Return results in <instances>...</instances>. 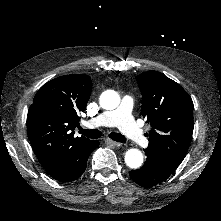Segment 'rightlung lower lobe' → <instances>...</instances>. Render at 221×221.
Wrapping results in <instances>:
<instances>
[{"mask_svg": "<svg viewBox=\"0 0 221 221\" xmlns=\"http://www.w3.org/2000/svg\"><path fill=\"white\" fill-rule=\"evenodd\" d=\"M98 146L99 141L92 140L88 145L80 148L57 173L50 176L60 182H71L78 179L86 169L89 155Z\"/></svg>", "mask_w": 221, "mask_h": 221, "instance_id": "obj_1", "label": "right lung lower lobe"}]
</instances>
